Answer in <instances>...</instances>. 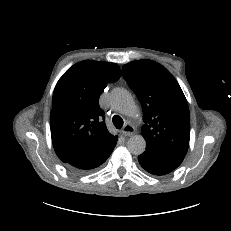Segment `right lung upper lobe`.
<instances>
[{
	"label": "right lung upper lobe",
	"instance_id": "1",
	"mask_svg": "<svg viewBox=\"0 0 231 231\" xmlns=\"http://www.w3.org/2000/svg\"><path fill=\"white\" fill-rule=\"evenodd\" d=\"M119 78L117 64L84 60L59 79L50 126L53 147L61 161L97 154L117 141L106 128L98 100L107 84Z\"/></svg>",
	"mask_w": 231,
	"mask_h": 231
}]
</instances>
